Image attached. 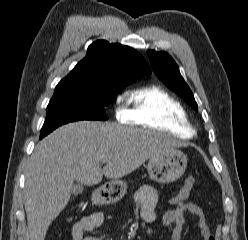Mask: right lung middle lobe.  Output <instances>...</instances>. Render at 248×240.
<instances>
[{"label": "right lung middle lobe", "mask_w": 248, "mask_h": 240, "mask_svg": "<svg viewBox=\"0 0 248 240\" xmlns=\"http://www.w3.org/2000/svg\"><path fill=\"white\" fill-rule=\"evenodd\" d=\"M125 86L116 88H63L55 90L47 106V115L40 135L57 127L80 120L107 119L105 106Z\"/></svg>", "instance_id": "1"}]
</instances>
